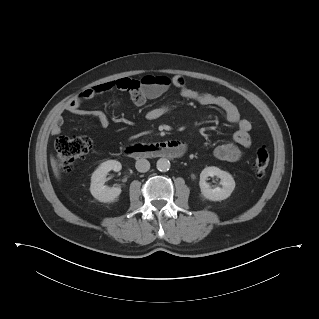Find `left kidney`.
I'll use <instances>...</instances> for the list:
<instances>
[{
  "instance_id": "1",
  "label": "left kidney",
  "mask_w": 319,
  "mask_h": 319,
  "mask_svg": "<svg viewBox=\"0 0 319 319\" xmlns=\"http://www.w3.org/2000/svg\"><path fill=\"white\" fill-rule=\"evenodd\" d=\"M216 176L221 179L222 188H211L209 183L206 182L208 177ZM199 186L202 195L211 201H221L228 198L235 188V181L232 175L223 171L215 166L206 167L200 174Z\"/></svg>"
}]
</instances>
